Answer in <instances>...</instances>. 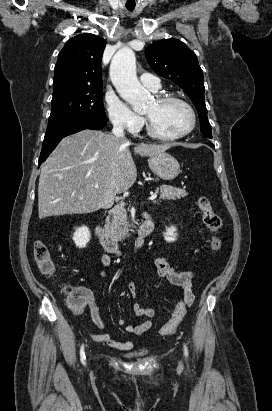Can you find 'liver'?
Wrapping results in <instances>:
<instances>
[{"label": "liver", "instance_id": "liver-1", "mask_svg": "<svg viewBox=\"0 0 272 411\" xmlns=\"http://www.w3.org/2000/svg\"><path fill=\"white\" fill-rule=\"evenodd\" d=\"M129 145L96 130H83L61 140L41 168L39 218L91 213L112 206L115 196L127 191L137 178ZM171 147L141 143L135 145L134 153L152 156Z\"/></svg>", "mask_w": 272, "mask_h": 411}]
</instances>
